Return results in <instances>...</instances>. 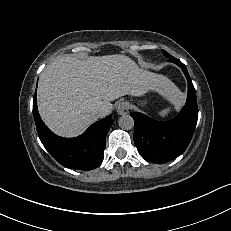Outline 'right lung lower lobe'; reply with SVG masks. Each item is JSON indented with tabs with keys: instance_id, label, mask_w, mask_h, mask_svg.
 Here are the masks:
<instances>
[{
	"instance_id": "98d812e1",
	"label": "right lung lower lobe",
	"mask_w": 231,
	"mask_h": 231,
	"mask_svg": "<svg viewBox=\"0 0 231 231\" xmlns=\"http://www.w3.org/2000/svg\"><path fill=\"white\" fill-rule=\"evenodd\" d=\"M33 115L42 144L61 165L71 169L92 170L101 164L106 134L113 124L111 115L92 124L75 138L59 137L44 125L37 110L36 93L33 98Z\"/></svg>"
}]
</instances>
